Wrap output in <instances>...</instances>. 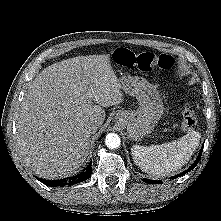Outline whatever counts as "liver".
<instances>
[{
	"mask_svg": "<svg viewBox=\"0 0 221 221\" xmlns=\"http://www.w3.org/2000/svg\"><path fill=\"white\" fill-rule=\"evenodd\" d=\"M108 55L74 57L39 73L21 103L17 148L37 176L72 175L89 154L87 125L104 122V107L123 101ZM100 124V125H101Z\"/></svg>",
	"mask_w": 221,
	"mask_h": 221,
	"instance_id": "obj_1",
	"label": "liver"
}]
</instances>
